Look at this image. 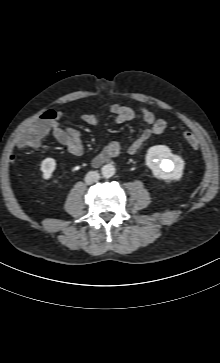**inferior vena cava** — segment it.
<instances>
[{
    "label": "inferior vena cava",
    "mask_w": 220,
    "mask_h": 363,
    "mask_svg": "<svg viewBox=\"0 0 220 363\" xmlns=\"http://www.w3.org/2000/svg\"><path fill=\"white\" fill-rule=\"evenodd\" d=\"M100 175L97 171H89L85 176V182L87 184L95 183L99 180Z\"/></svg>",
    "instance_id": "602c4592"
}]
</instances>
